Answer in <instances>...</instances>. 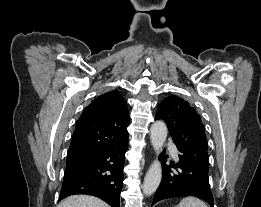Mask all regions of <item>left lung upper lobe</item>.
<instances>
[{
	"mask_svg": "<svg viewBox=\"0 0 261 207\" xmlns=\"http://www.w3.org/2000/svg\"><path fill=\"white\" fill-rule=\"evenodd\" d=\"M158 119L167 123L179 155L208 170L205 129L195 109L182 98L169 96L158 105L155 120Z\"/></svg>",
	"mask_w": 261,
	"mask_h": 207,
	"instance_id": "1",
	"label": "left lung upper lobe"
}]
</instances>
